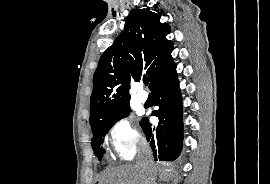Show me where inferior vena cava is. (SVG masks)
<instances>
[{
    "label": "inferior vena cava",
    "mask_w": 270,
    "mask_h": 184,
    "mask_svg": "<svg viewBox=\"0 0 270 184\" xmlns=\"http://www.w3.org/2000/svg\"><path fill=\"white\" fill-rule=\"evenodd\" d=\"M138 164L145 169H153L152 152L147 143L141 145V153Z\"/></svg>",
    "instance_id": "inferior-vena-cava-1"
}]
</instances>
